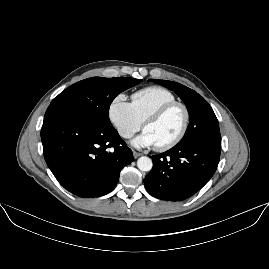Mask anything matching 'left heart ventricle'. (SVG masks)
Returning a JSON list of instances; mask_svg holds the SVG:
<instances>
[{"label":"left heart ventricle","instance_id":"1","mask_svg":"<svg viewBox=\"0 0 269 269\" xmlns=\"http://www.w3.org/2000/svg\"><path fill=\"white\" fill-rule=\"evenodd\" d=\"M183 122V112L176 107L148 122L144 131L150 135L155 146H163L179 134Z\"/></svg>","mask_w":269,"mask_h":269}]
</instances>
